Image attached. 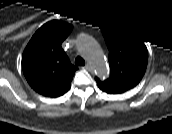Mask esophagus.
I'll return each mask as SVG.
<instances>
[{"label":"esophagus","mask_w":172,"mask_h":134,"mask_svg":"<svg viewBox=\"0 0 172 134\" xmlns=\"http://www.w3.org/2000/svg\"><path fill=\"white\" fill-rule=\"evenodd\" d=\"M84 68H86L87 70H90L89 64H86V65L84 66Z\"/></svg>","instance_id":"esophagus-1"}]
</instances>
